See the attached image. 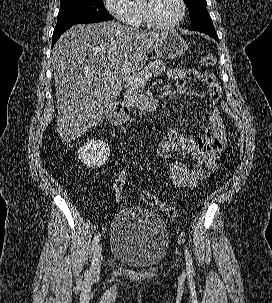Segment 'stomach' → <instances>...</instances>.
<instances>
[{
  "label": "stomach",
  "mask_w": 272,
  "mask_h": 303,
  "mask_svg": "<svg viewBox=\"0 0 272 303\" xmlns=\"http://www.w3.org/2000/svg\"><path fill=\"white\" fill-rule=\"evenodd\" d=\"M188 49L186 41L175 31L168 32L155 49L157 57L174 59L183 56Z\"/></svg>",
  "instance_id": "0dacf381"
}]
</instances>
